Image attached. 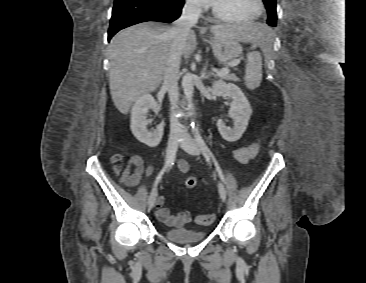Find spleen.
I'll return each instance as SVG.
<instances>
[{
    "mask_svg": "<svg viewBox=\"0 0 366 283\" xmlns=\"http://www.w3.org/2000/svg\"><path fill=\"white\" fill-rule=\"evenodd\" d=\"M256 47L257 44L253 43L251 48L256 49ZM244 80L249 89H255L260 85L262 81V58L259 52L248 53Z\"/></svg>",
    "mask_w": 366,
    "mask_h": 283,
    "instance_id": "1",
    "label": "spleen"
}]
</instances>
